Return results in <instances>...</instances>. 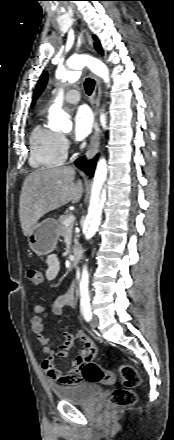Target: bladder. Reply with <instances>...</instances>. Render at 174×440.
Here are the masks:
<instances>
[{"label": "bladder", "mask_w": 174, "mask_h": 440, "mask_svg": "<svg viewBox=\"0 0 174 440\" xmlns=\"http://www.w3.org/2000/svg\"><path fill=\"white\" fill-rule=\"evenodd\" d=\"M51 389L59 401L68 403H90L102 392V388L92 383H77L60 386L52 384Z\"/></svg>", "instance_id": "bladder-1"}]
</instances>
